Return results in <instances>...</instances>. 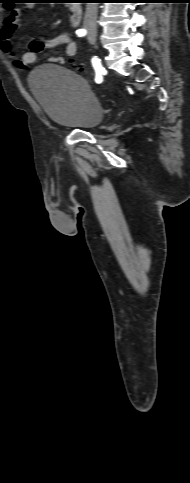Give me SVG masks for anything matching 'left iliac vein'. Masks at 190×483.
Segmentation results:
<instances>
[{"label":"left iliac vein","mask_w":190,"mask_h":483,"mask_svg":"<svg viewBox=\"0 0 190 483\" xmlns=\"http://www.w3.org/2000/svg\"><path fill=\"white\" fill-rule=\"evenodd\" d=\"M89 41H90V43L94 44V43H95V37H91V36L89 35Z\"/></svg>","instance_id":"left-iliac-vein-1"}]
</instances>
